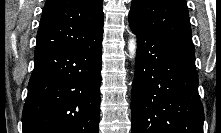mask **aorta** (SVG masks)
I'll use <instances>...</instances> for the list:
<instances>
[{
    "mask_svg": "<svg viewBox=\"0 0 221 133\" xmlns=\"http://www.w3.org/2000/svg\"><path fill=\"white\" fill-rule=\"evenodd\" d=\"M129 53H130V58H134L136 55V39L132 38L129 41Z\"/></svg>",
    "mask_w": 221,
    "mask_h": 133,
    "instance_id": "1",
    "label": "aorta"
}]
</instances>
